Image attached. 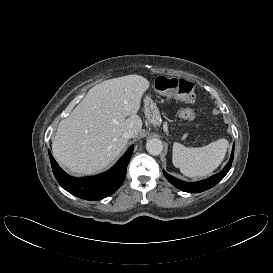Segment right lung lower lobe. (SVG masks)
Returning <instances> with one entry per match:
<instances>
[{
	"mask_svg": "<svg viewBox=\"0 0 273 273\" xmlns=\"http://www.w3.org/2000/svg\"><path fill=\"white\" fill-rule=\"evenodd\" d=\"M133 148L132 145L109 171L93 177H71L59 167L50 151L49 157L54 176L66 191L79 198L95 201L111 195L122 185Z\"/></svg>",
	"mask_w": 273,
	"mask_h": 273,
	"instance_id": "98d812e1",
	"label": "right lung lower lobe"
}]
</instances>
